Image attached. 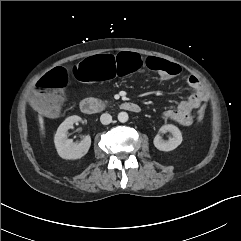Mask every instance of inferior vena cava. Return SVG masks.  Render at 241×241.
<instances>
[{"instance_id": "602c4592", "label": "inferior vena cava", "mask_w": 241, "mask_h": 241, "mask_svg": "<svg viewBox=\"0 0 241 241\" xmlns=\"http://www.w3.org/2000/svg\"><path fill=\"white\" fill-rule=\"evenodd\" d=\"M100 121L103 125H108L112 122V116L108 113H104L101 115Z\"/></svg>"}]
</instances>
